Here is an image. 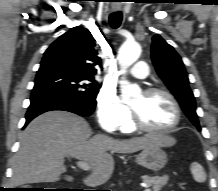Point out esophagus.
<instances>
[{"label": "esophagus", "instance_id": "obj_1", "mask_svg": "<svg viewBox=\"0 0 218 191\" xmlns=\"http://www.w3.org/2000/svg\"><path fill=\"white\" fill-rule=\"evenodd\" d=\"M120 8L119 7H114L113 11H118Z\"/></svg>", "mask_w": 218, "mask_h": 191}]
</instances>
